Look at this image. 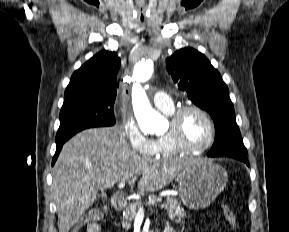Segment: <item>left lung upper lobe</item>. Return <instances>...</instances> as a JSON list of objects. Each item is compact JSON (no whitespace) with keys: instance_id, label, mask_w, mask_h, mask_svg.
Instances as JSON below:
<instances>
[{"instance_id":"obj_1","label":"left lung upper lobe","mask_w":289,"mask_h":232,"mask_svg":"<svg viewBox=\"0 0 289 232\" xmlns=\"http://www.w3.org/2000/svg\"><path fill=\"white\" fill-rule=\"evenodd\" d=\"M166 69L178 88L186 91L188 98L214 121L215 141L208 156L247 155L228 88L209 60L186 47L166 59Z\"/></svg>"}]
</instances>
